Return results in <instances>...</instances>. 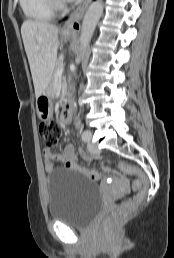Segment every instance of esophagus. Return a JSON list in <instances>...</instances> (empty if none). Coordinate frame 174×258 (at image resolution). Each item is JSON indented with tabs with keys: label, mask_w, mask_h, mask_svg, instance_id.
<instances>
[{
	"label": "esophagus",
	"mask_w": 174,
	"mask_h": 258,
	"mask_svg": "<svg viewBox=\"0 0 174 258\" xmlns=\"http://www.w3.org/2000/svg\"><path fill=\"white\" fill-rule=\"evenodd\" d=\"M91 0H81L62 27L63 33H76L80 30V21Z\"/></svg>",
	"instance_id": "1"
}]
</instances>
